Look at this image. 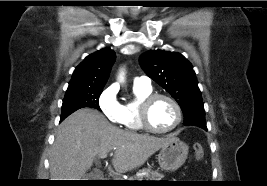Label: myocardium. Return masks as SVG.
<instances>
[{
    "mask_svg": "<svg viewBox=\"0 0 267 186\" xmlns=\"http://www.w3.org/2000/svg\"><path fill=\"white\" fill-rule=\"evenodd\" d=\"M160 98L168 100L173 105L176 111L175 122L169 128H166V129H157L153 127L149 119V113H150L152 104L154 103V101ZM139 120H140V123L143 129H145L148 132L156 133V134L169 133V132L174 131L180 125L182 121V109L179 103L170 95L165 94V93H150L146 97H144L140 102Z\"/></svg>",
    "mask_w": 267,
    "mask_h": 186,
    "instance_id": "1",
    "label": "myocardium"
}]
</instances>
